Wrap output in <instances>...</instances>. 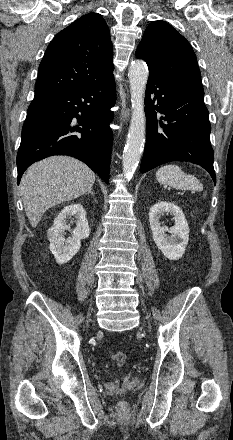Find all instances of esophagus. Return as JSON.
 I'll list each match as a JSON object with an SVG mask.
<instances>
[{
	"label": "esophagus",
	"instance_id": "obj_1",
	"mask_svg": "<svg viewBox=\"0 0 233 440\" xmlns=\"http://www.w3.org/2000/svg\"><path fill=\"white\" fill-rule=\"evenodd\" d=\"M129 115H130V109H126L122 112V117H123L124 121L129 118Z\"/></svg>",
	"mask_w": 233,
	"mask_h": 440
}]
</instances>
